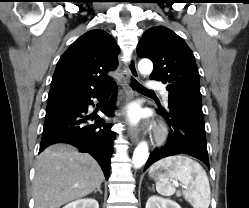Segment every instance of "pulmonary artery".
Instances as JSON below:
<instances>
[{
	"label": "pulmonary artery",
	"mask_w": 249,
	"mask_h": 208,
	"mask_svg": "<svg viewBox=\"0 0 249 208\" xmlns=\"http://www.w3.org/2000/svg\"><path fill=\"white\" fill-rule=\"evenodd\" d=\"M146 87L148 90H158L163 98L164 103L168 102V91L165 89V87L159 83L154 81H148L146 84Z\"/></svg>",
	"instance_id": "obj_1"
}]
</instances>
